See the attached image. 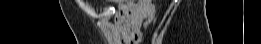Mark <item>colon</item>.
Here are the masks:
<instances>
[{"instance_id": "colon-1", "label": "colon", "mask_w": 261, "mask_h": 44, "mask_svg": "<svg viewBox=\"0 0 261 44\" xmlns=\"http://www.w3.org/2000/svg\"><path fill=\"white\" fill-rule=\"evenodd\" d=\"M141 2H143L146 7H147V18H146V28H148L151 23L153 22L154 18H155V5H154V1L152 0H140ZM120 6H135L136 2L135 1H120L119 2Z\"/></svg>"}]
</instances>
